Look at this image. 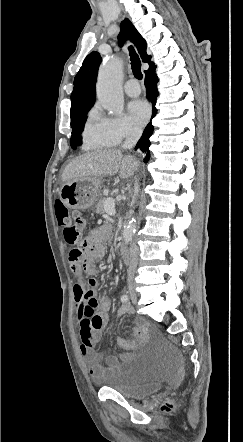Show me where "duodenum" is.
<instances>
[{"label": "duodenum", "mask_w": 243, "mask_h": 442, "mask_svg": "<svg viewBox=\"0 0 243 442\" xmlns=\"http://www.w3.org/2000/svg\"><path fill=\"white\" fill-rule=\"evenodd\" d=\"M121 257L125 262L131 261V252L128 246L123 245L121 248Z\"/></svg>", "instance_id": "410a0bca"}]
</instances>
